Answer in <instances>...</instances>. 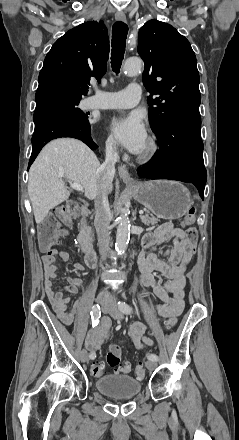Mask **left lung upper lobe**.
I'll list each match as a JSON object with an SVG mask.
<instances>
[{"instance_id": "5c2ea615", "label": "left lung upper lobe", "mask_w": 239, "mask_h": 440, "mask_svg": "<svg viewBox=\"0 0 239 440\" xmlns=\"http://www.w3.org/2000/svg\"><path fill=\"white\" fill-rule=\"evenodd\" d=\"M138 53L145 63L143 84L150 93L154 132L175 116L199 114V72L189 41L173 26L149 20L139 30Z\"/></svg>"}]
</instances>
